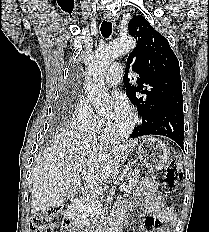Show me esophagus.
Segmentation results:
<instances>
[{"mask_svg": "<svg viewBox=\"0 0 209 232\" xmlns=\"http://www.w3.org/2000/svg\"><path fill=\"white\" fill-rule=\"evenodd\" d=\"M104 19L107 20V21L112 22L114 25L116 24V18H115V16H113L110 13H105L104 14Z\"/></svg>", "mask_w": 209, "mask_h": 232, "instance_id": "34e87169", "label": "esophagus"}]
</instances>
